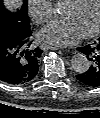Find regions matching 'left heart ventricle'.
<instances>
[{
    "label": "left heart ventricle",
    "instance_id": "1",
    "mask_svg": "<svg viewBox=\"0 0 100 118\" xmlns=\"http://www.w3.org/2000/svg\"><path fill=\"white\" fill-rule=\"evenodd\" d=\"M99 6V0H84L78 6L68 4L65 17L73 19L84 34L95 28L99 17Z\"/></svg>",
    "mask_w": 100,
    "mask_h": 118
}]
</instances>
